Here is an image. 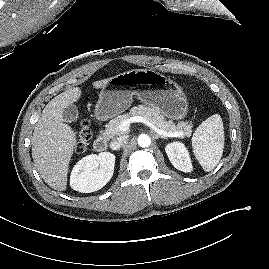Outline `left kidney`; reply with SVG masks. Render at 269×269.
<instances>
[{
	"label": "left kidney",
	"instance_id": "1",
	"mask_svg": "<svg viewBox=\"0 0 269 269\" xmlns=\"http://www.w3.org/2000/svg\"><path fill=\"white\" fill-rule=\"evenodd\" d=\"M166 154L172 165L183 172H191L192 164L189 152L181 142H173L165 147Z\"/></svg>",
	"mask_w": 269,
	"mask_h": 269
}]
</instances>
